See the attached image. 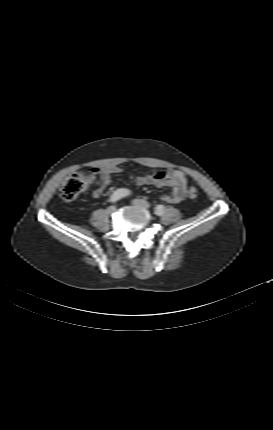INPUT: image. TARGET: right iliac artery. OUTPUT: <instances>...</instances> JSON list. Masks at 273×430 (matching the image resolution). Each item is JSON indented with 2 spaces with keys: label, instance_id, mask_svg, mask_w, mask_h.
Wrapping results in <instances>:
<instances>
[{
  "label": "right iliac artery",
  "instance_id": "obj_1",
  "mask_svg": "<svg viewBox=\"0 0 273 430\" xmlns=\"http://www.w3.org/2000/svg\"><path fill=\"white\" fill-rule=\"evenodd\" d=\"M130 195V190L126 188H120L113 192V194L110 196V202L115 203L118 200Z\"/></svg>",
  "mask_w": 273,
  "mask_h": 430
}]
</instances>
